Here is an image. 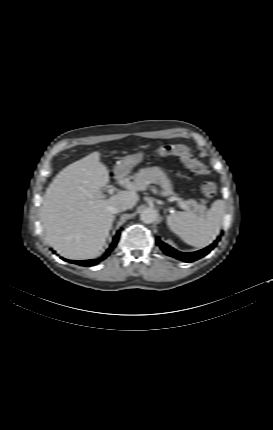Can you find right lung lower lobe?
Returning <instances> with one entry per match:
<instances>
[{"instance_id": "right-lung-lower-lobe-1", "label": "right lung lower lobe", "mask_w": 273, "mask_h": 430, "mask_svg": "<svg viewBox=\"0 0 273 430\" xmlns=\"http://www.w3.org/2000/svg\"><path fill=\"white\" fill-rule=\"evenodd\" d=\"M119 236H120V232L118 231L110 247L106 250L105 254L99 259L85 260V261H73V260H65V261H68L70 263H75L81 266H93L95 264H98L100 261L104 260L110 254V252L115 248L119 240Z\"/></svg>"}]
</instances>
